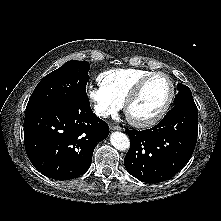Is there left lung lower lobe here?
Here are the masks:
<instances>
[{
    "instance_id": "1",
    "label": "left lung lower lobe",
    "mask_w": 221,
    "mask_h": 221,
    "mask_svg": "<svg viewBox=\"0 0 221 221\" xmlns=\"http://www.w3.org/2000/svg\"><path fill=\"white\" fill-rule=\"evenodd\" d=\"M195 104L176 105L152 129L125 130L131 141L127 171L142 182L167 180L189 161L197 141Z\"/></svg>"
}]
</instances>
